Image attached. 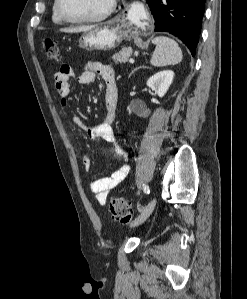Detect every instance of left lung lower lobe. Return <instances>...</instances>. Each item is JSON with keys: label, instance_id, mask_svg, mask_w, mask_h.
I'll return each mask as SVG.
<instances>
[{"label": "left lung lower lobe", "instance_id": "0a47b994", "mask_svg": "<svg viewBox=\"0 0 247 299\" xmlns=\"http://www.w3.org/2000/svg\"><path fill=\"white\" fill-rule=\"evenodd\" d=\"M155 19V31L178 37L195 55L205 0H147Z\"/></svg>", "mask_w": 247, "mask_h": 299}]
</instances>
